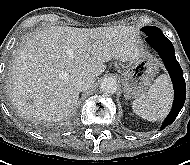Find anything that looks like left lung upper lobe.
Wrapping results in <instances>:
<instances>
[{"instance_id":"obj_1","label":"left lung upper lobe","mask_w":190,"mask_h":165,"mask_svg":"<svg viewBox=\"0 0 190 165\" xmlns=\"http://www.w3.org/2000/svg\"><path fill=\"white\" fill-rule=\"evenodd\" d=\"M141 30L147 35L146 41L152 39L153 37L163 35L162 31L155 26L143 27Z\"/></svg>"}]
</instances>
